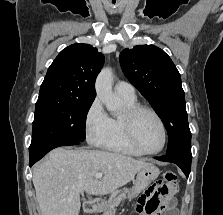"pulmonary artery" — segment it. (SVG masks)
<instances>
[{"label":"pulmonary artery","mask_w":223,"mask_h":215,"mask_svg":"<svg viewBox=\"0 0 223 215\" xmlns=\"http://www.w3.org/2000/svg\"><path fill=\"white\" fill-rule=\"evenodd\" d=\"M114 91L117 95H119L122 98H126L129 100H135L136 99V93L131 84L125 81H118L114 85Z\"/></svg>","instance_id":"obj_1"}]
</instances>
